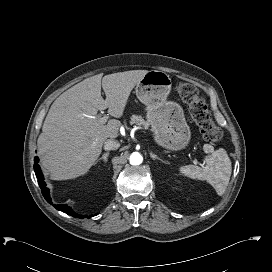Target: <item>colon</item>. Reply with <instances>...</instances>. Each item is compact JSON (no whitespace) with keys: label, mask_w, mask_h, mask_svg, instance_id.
Listing matches in <instances>:
<instances>
[{"label":"colon","mask_w":272,"mask_h":272,"mask_svg":"<svg viewBox=\"0 0 272 272\" xmlns=\"http://www.w3.org/2000/svg\"><path fill=\"white\" fill-rule=\"evenodd\" d=\"M175 91L187 106L204 139L211 143H218L222 138V133L212 122L206 103L197 88L187 82H178Z\"/></svg>","instance_id":"1"}]
</instances>
